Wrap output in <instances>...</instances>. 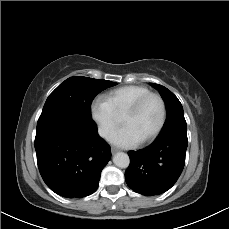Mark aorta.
<instances>
[{
	"mask_svg": "<svg viewBox=\"0 0 229 229\" xmlns=\"http://www.w3.org/2000/svg\"><path fill=\"white\" fill-rule=\"evenodd\" d=\"M113 162L117 167L127 168L129 166L130 159L126 153L118 152L114 155Z\"/></svg>",
	"mask_w": 229,
	"mask_h": 229,
	"instance_id": "1",
	"label": "aorta"
}]
</instances>
